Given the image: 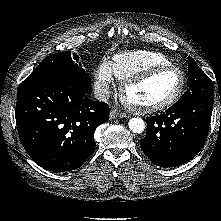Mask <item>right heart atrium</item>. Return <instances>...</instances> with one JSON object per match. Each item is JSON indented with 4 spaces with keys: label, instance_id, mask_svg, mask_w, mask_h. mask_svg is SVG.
Instances as JSON below:
<instances>
[{
    "label": "right heart atrium",
    "instance_id": "obj_1",
    "mask_svg": "<svg viewBox=\"0 0 221 221\" xmlns=\"http://www.w3.org/2000/svg\"><path fill=\"white\" fill-rule=\"evenodd\" d=\"M113 79L110 63L107 61L100 62L94 71V87L101 99L109 95Z\"/></svg>",
    "mask_w": 221,
    "mask_h": 221
}]
</instances>
